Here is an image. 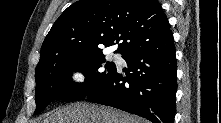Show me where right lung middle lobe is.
Masks as SVG:
<instances>
[{
  "mask_svg": "<svg viewBox=\"0 0 221 123\" xmlns=\"http://www.w3.org/2000/svg\"><path fill=\"white\" fill-rule=\"evenodd\" d=\"M115 69L102 50L62 57L36 67L35 114L54 100L84 99L93 86L103 82ZM74 71L85 74L84 83L73 82Z\"/></svg>",
  "mask_w": 221,
  "mask_h": 123,
  "instance_id": "dd1d6c3e",
  "label": "right lung middle lobe"
}]
</instances>
